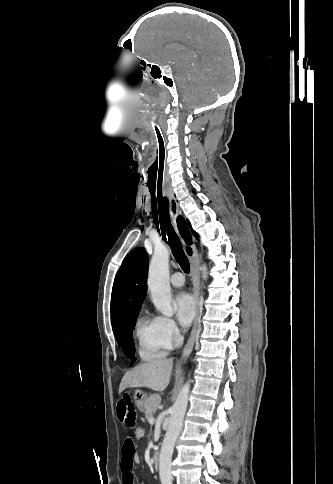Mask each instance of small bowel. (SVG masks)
<instances>
[{"mask_svg": "<svg viewBox=\"0 0 333 484\" xmlns=\"http://www.w3.org/2000/svg\"><path fill=\"white\" fill-rule=\"evenodd\" d=\"M116 417L127 431L135 429L136 411L128 392L123 393L116 403ZM138 461L139 457L135 450L134 440L131 436H127L122 447L121 472L123 484H134L133 466Z\"/></svg>", "mask_w": 333, "mask_h": 484, "instance_id": "c3829d8e", "label": "small bowel"}]
</instances>
